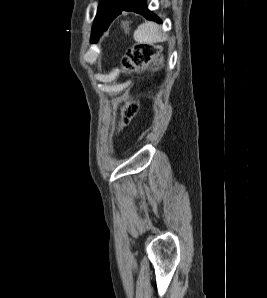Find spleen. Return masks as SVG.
<instances>
[{
	"label": "spleen",
	"mask_w": 267,
	"mask_h": 298,
	"mask_svg": "<svg viewBox=\"0 0 267 298\" xmlns=\"http://www.w3.org/2000/svg\"><path fill=\"white\" fill-rule=\"evenodd\" d=\"M167 39L168 36L161 32V27L153 22L139 25L134 32V40L140 44H154Z\"/></svg>",
	"instance_id": "1"
}]
</instances>
